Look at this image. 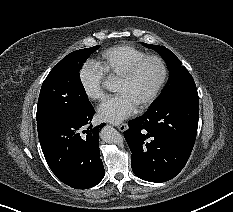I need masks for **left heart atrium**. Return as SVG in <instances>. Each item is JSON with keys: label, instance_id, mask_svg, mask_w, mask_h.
Here are the masks:
<instances>
[{"label": "left heart atrium", "instance_id": "1", "mask_svg": "<svg viewBox=\"0 0 233 212\" xmlns=\"http://www.w3.org/2000/svg\"><path fill=\"white\" fill-rule=\"evenodd\" d=\"M137 106L125 93L105 99L98 107V116L101 120L118 123L131 116Z\"/></svg>", "mask_w": 233, "mask_h": 212}]
</instances>
